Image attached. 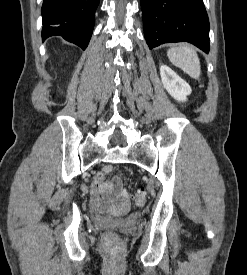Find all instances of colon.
<instances>
[{
	"mask_svg": "<svg viewBox=\"0 0 247 275\" xmlns=\"http://www.w3.org/2000/svg\"><path fill=\"white\" fill-rule=\"evenodd\" d=\"M104 181H105V174L101 172L96 175L94 184L97 187H99L104 183ZM134 201L138 206L144 205L146 202V191L144 189L137 191L136 194L134 195ZM104 244L107 248L114 250L119 248L120 241L116 236V234H114L113 232H106L104 234Z\"/></svg>",
	"mask_w": 247,
	"mask_h": 275,
	"instance_id": "5ec220e1",
	"label": "colon"
}]
</instances>
